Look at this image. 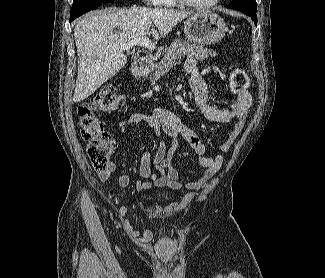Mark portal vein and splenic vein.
<instances>
[{
  "label": "portal vein and splenic vein",
  "instance_id": "portal-vein-and-splenic-vein-1",
  "mask_svg": "<svg viewBox=\"0 0 325 278\" xmlns=\"http://www.w3.org/2000/svg\"><path fill=\"white\" fill-rule=\"evenodd\" d=\"M134 46L144 47L151 51L155 49V44L147 37L132 39V40L128 41L127 43L121 45V48L124 50H129L130 48H132Z\"/></svg>",
  "mask_w": 325,
  "mask_h": 278
}]
</instances>
